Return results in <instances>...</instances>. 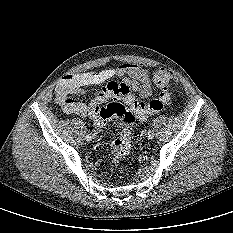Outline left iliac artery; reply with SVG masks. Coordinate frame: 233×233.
<instances>
[{"mask_svg": "<svg viewBox=\"0 0 233 233\" xmlns=\"http://www.w3.org/2000/svg\"><path fill=\"white\" fill-rule=\"evenodd\" d=\"M153 136H154L153 130L149 129V131H148V138H149V139H152Z\"/></svg>", "mask_w": 233, "mask_h": 233, "instance_id": "obj_1", "label": "left iliac artery"}]
</instances>
